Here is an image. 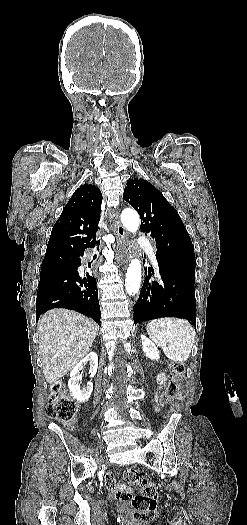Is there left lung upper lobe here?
I'll list each match as a JSON object with an SVG mask.
<instances>
[{
	"label": "left lung upper lobe",
	"mask_w": 247,
	"mask_h": 525,
	"mask_svg": "<svg viewBox=\"0 0 247 525\" xmlns=\"http://www.w3.org/2000/svg\"><path fill=\"white\" fill-rule=\"evenodd\" d=\"M124 200L141 217V231L156 241V257L173 261L177 267L195 271V254L189 234L178 214L166 198L144 179H130Z\"/></svg>",
	"instance_id": "left-lung-upper-lobe-1"
}]
</instances>
